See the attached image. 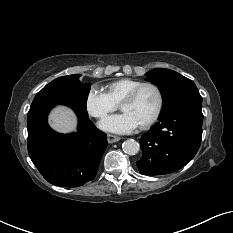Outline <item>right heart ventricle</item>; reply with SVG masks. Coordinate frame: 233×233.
<instances>
[{
    "label": "right heart ventricle",
    "mask_w": 233,
    "mask_h": 233,
    "mask_svg": "<svg viewBox=\"0 0 233 233\" xmlns=\"http://www.w3.org/2000/svg\"><path fill=\"white\" fill-rule=\"evenodd\" d=\"M141 81L130 79V78H122L116 81L109 83L106 86L107 95L109 98L116 104H120L122 99L136 86L141 84Z\"/></svg>",
    "instance_id": "obj_1"
}]
</instances>
